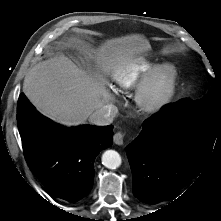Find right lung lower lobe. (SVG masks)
Instances as JSON below:
<instances>
[{
	"instance_id": "obj_1",
	"label": "right lung lower lobe",
	"mask_w": 221,
	"mask_h": 221,
	"mask_svg": "<svg viewBox=\"0 0 221 221\" xmlns=\"http://www.w3.org/2000/svg\"><path fill=\"white\" fill-rule=\"evenodd\" d=\"M17 123L27 164L44 187L69 202L85 197L96 155L112 145L113 126L62 127L40 115L23 93Z\"/></svg>"
}]
</instances>
